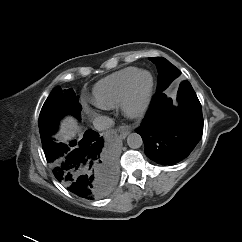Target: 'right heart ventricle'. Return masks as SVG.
Returning <instances> with one entry per match:
<instances>
[{
    "instance_id": "right-heart-ventricle-1",
    "label": "right heart ventricle",
    "mask_w": 242,
    "mask_h": 242,
    "mask_svg": "<svg viewBox=\"0 0 242 242\" xmlns=\"http://www.w3.org/2000/svg\"><path fill=\"white\" fill-rule=\"evenodd\" d=\"M138 70L127 67L98 81L92 90L93 102L102 109L118 106L130 79Z\"/></svg>"
}]
</instances>
